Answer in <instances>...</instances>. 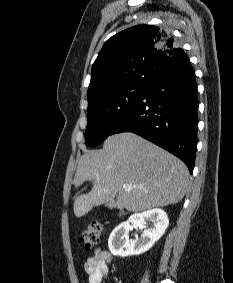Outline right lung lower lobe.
<instances>
[{"label":"right lung lower lobe","instance_id":"1","mask_svg":"<svg viewBox=\"0 0 233 283\" xmlns=\"http://www.w3.org/2000/svg\"><path fill=\"white\" fill-rule=\"evenodd\" d=\"M197 84L185 57L158 75L112 134L133 132L179 157L190 173L197 144Z\"/></svg>","mask_w":233,"mask_h":283}]
</instances>
